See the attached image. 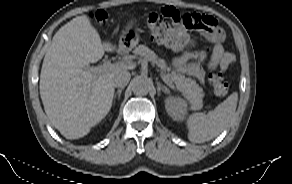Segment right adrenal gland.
Returning a JSON list of instances; mask_svg holds the SVG:
<instances>
[{
	"label": "right adrenal gland",
	"mask_w": 292,
	"mask_h": 184,
	"mask_svg": "<svg viewBox=\"0 0 292 184\" xmlns=\"http://www.w3.org/2000/svg\"><path fill=\"white\" fill-rule=\"evenodd\" d=\"M122 90V88L117 90V92L114 94V99L118 96V100H120Z\"/></svg>",
	"instance_id": "1"
}]
</instances>
